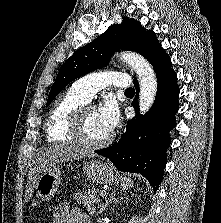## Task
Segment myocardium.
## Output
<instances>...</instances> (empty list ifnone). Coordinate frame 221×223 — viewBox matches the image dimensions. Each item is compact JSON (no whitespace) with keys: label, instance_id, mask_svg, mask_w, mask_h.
I'll use <instances>...</instances> for the list:
<instances>
[{"label":"myocardium","instance_id":"myocardium-1","mask_svg":"<svg viewBox=\"0 0 221 223\" xmlns=\"http://www.w3.org/2000/svg\"><path fill=\"white\" fill-rule=\"evenodd\" d=\"M89 110H94L90 105L79 106L72 114L67 131L72 140L80 147L89 150H95L109 145L112 142L113 136L109 135L105 139L98 142L87 141L84 136V118Z\"/></svg>","mask_w":221,"mask_h":223}]
</instances>
